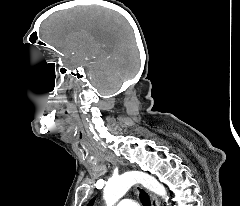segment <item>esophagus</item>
<instances>
[{
  "label": "esophagus",
  "mask_w": 240,
  "mask_h": 206,
  "mask_svg": "<svg viewBox=\"0 0 240 206\" xmlns=\"http://www.w3.org/2000/svg\"><path fill=\"white\" fill-rule=\"evenodd\" d=\"M107 160H109L113 163L120 162V164L124 165V163L122 161H118L117 159H114V158H107ZM147 194H148L149 199L151 201V206H160L159 199L155 194H153L152 192H150L148 190H147Z\"/></svg>",
  "instance_id": "34e87169"
}]
</instances>
